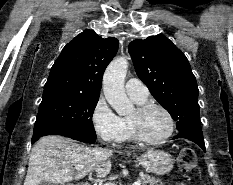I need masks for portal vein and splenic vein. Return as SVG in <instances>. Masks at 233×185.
I'll use <instances>...</instances> for the list:
<instances>
[{
    "label": "portal vein and splenic vein",
    "mask_w": 233,
    "mask_h": 185,
    "mask_svg": "<svg viewBox=\"0 0 233 185\" xmlns=\"http://www.w3.org/2000/svg\"><path fill=\"white\" fill-rule=\"evenodd\" d=\"M84 168V166L83 165H76L75 166V169L76 170H82ZM103 185H116V184H114V183H105V184H103ZM133 185H141V182L140 181H136V182H134L133 183Z\"/></svg>",
    "instance_id": "18ae733b"
}]
</instances>
